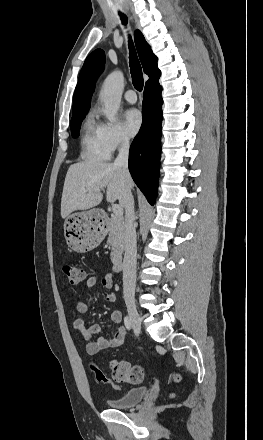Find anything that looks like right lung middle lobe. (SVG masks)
<instances>
[{"mask_svg": "<svg viewBox=\"0 0 263 440\" xmlns=\"http://www.w3.org/2000/svg\"><path fill=\"white\" fill-rule=\"evenodd\" d=\"M86 113L77 115L72 117L71 119V134L73 138L78 137L79 129L82 123V120L85 118Z\"/></svg>", "mask_w": 263, "mask_h": 440, "instance_id": "1", "label": "right lung middle lobe"}]
</instances>
